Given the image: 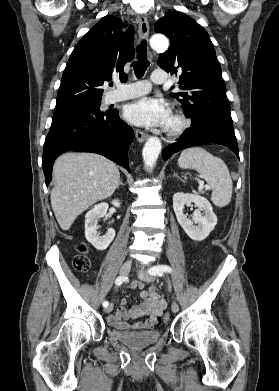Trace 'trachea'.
I'll use <instances>...</instances> for the list:
<instances>
[{
    "mask_svg": "<svg viewBox=\"0 0 279 391\" xmlns=\"http://www.w3.org/2000/svg\"><path fill=\"white\" fill-rule=\"evenodd\" d=\"M146 51H147L146 40H143L141 44L137 46V60L131 64L137 78L143 77L146 69L150 65L149 61L146 58L147 57Z\"/></svg>",
    "mask_w": 279,
    "mask_h": 391,
    "instance_id": "trachea-1",
    "label": "trachea"
}]
</instances>
